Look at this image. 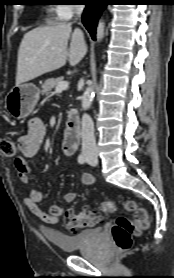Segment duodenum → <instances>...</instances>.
I'll use <instances>...</instances> for the list:
<instances>
[{"mask_svg":"<svg viewBox=\"0 0 174 278\" xmlns=\"http://www.w3.org/2000/svg\"><path fill=\"white\" fill-rule=\"evenodd\" d=\"M80 136L79 117L75 111H69L67 125L63 136L62 147L65 153L71 154L73 146L78 143Z\"/></svg>","mask_w":174,"mask_h":278,"instance_id":"obj_1","label":"duodenum"}]
</instances>
